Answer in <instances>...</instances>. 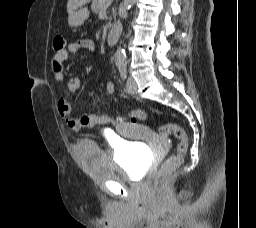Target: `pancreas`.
<instances>
[{
    "label": "pancreas",
    "instance_id": "1",
    "mask_svg": "<svg viewBox=\"0 0 256 228\" xmlns=\"http://www.w3.org/2000/svg\"><path fill=\"white\" fill-rule=\"evenodd\" d=\"M109 4H105L103 0H93L91 4V8L95 13H98L102 9H107ZM108 28L110 27V24L107 26Z\"/></svg>",
    "mask_w": 256,
    "mask_h": 228
}]
</instances>
